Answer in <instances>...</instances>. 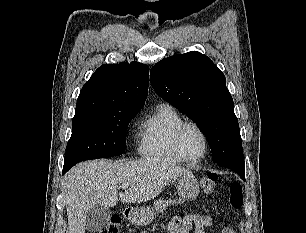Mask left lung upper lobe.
Listing matches in <instances>:
<instances>
[{
    "instance_id": "obj_1",
    "label": "left lung upper lobe",
    "mask_w": 306,
    "mask_h": 233,
    "mask_svg": "<svg viewBox=\"0 0 306 233\" xmlns=\"http://www.w3.org/2000/svg\"><path fill=\"white\" fill-rule=\"evenodd\" d=\"M150 77L160 97L196 122L214 163L245 167L233 99L224 74L207 56L189 52L165 58L152 67Z\"/></svg>"
}]
</instances>
